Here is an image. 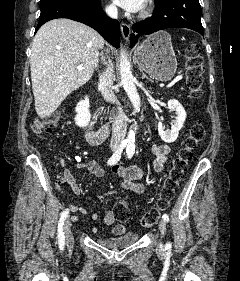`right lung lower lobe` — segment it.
<instances>
[{
	"label": "right lung lower lobe",
	"instance_id": "obj_1",
	"mask_svg": "<svg viewBox=\"0 0 240 281\" xmlns=\"http://www.w3.org/2000/svg\"><path fill=\"white\" fill-rule=\"evenodd\" d=\"M39 23L35 32L47 21L56 18H68L82 22L100 33L111 45L118 48L120 24L110 20L102 10L101 1L93 3L72 0H58L40 6Z\"/></svg>",
	"mask_w": 240,
	"mask_h": 281
}]
</instances>
